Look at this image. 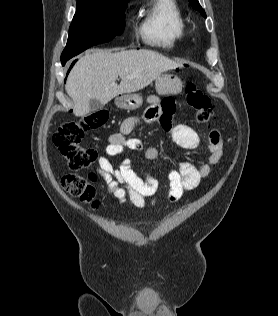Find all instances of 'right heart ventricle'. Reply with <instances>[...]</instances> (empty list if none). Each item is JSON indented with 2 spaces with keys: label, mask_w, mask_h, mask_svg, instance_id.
<instances>
[{
  "label": "right heart ventricle",
  "mask_w": 278,
  "mask_h": 316,
  "mask_svg": "<svg viewBox=\"0 0 278 316\" xmlns=\"http://www.w3.org/2000/svg\"><path fill=\"white\" fill-rule=\"evenodd\" d=\"M138 33L147 45L172 49L188 34L187 23L176 0H149L139 13Z\"/></svg>",
  "instance_id": "e07e8e85"
}]
</instances>
